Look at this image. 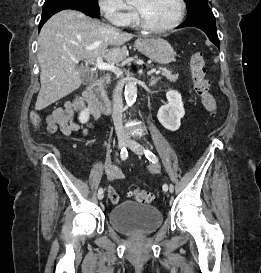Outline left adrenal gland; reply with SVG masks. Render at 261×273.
<instances>
[{
	"instance_id": "obj_1",
	"label": "left adrenal gland",
	"mask_w": 261,
	"mask_h": 273,
	"mask_svg": "<svg viewBox=\"0 0 261 273\" xmlns=\"http://www.w3.org/2000/svg\"><path fill=\"white\" fill-rule=\"evenodd\" d=\"M159 79H160L159 77H151L150 85L154 86L157 83V81H159Z\"/></svg>"
}]
</instances>
